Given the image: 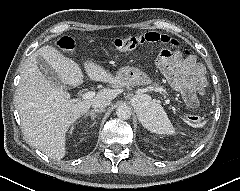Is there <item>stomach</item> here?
Instances as JSON below:
<instances>
[{
  "mask_svg": "<svg viewBox=\"0 0 240 191\" xmlns=\"http://www.w3.org/2000/svg\"><path fill=\"white\" fill-rule=\"evenodd\" d=\"M116 77L121 82L122 86L148 85L152 82L150 77L145 72L130 66L119 69ZM136 107L139 116L145 113L146 107L140 104H137Z\"/></svg>",
  "mask_w": 240,
  "mask_h": 191,
  "instance_id": "0dacf381",
  "label": "stomach"
}]
</instances>
